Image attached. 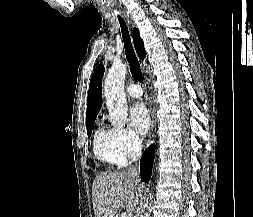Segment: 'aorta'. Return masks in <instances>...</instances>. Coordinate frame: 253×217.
<instances>
[{
    "mask_svg": "<svg viewBox=\"0 0 253 217\" xmlns=\"http://www.w3.org/2000/svg\"><path fill=\"white\" fill-rule=\"evenodd\" d=\"M127 73L126 65L115 62L105 78L104 94L109 111L110 121L118 126H124L128 116V105L124 92V80ZM152 195H150V200ZM151 202L142 217H150Z\"/></svg>",
    "mask_w": 253,
    "mask_h": 217,
    "instance_id": "aorta-1",
    "label": "aorta"
}]
</instances>
